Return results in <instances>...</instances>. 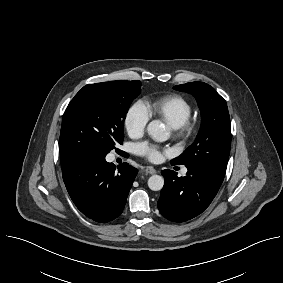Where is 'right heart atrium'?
<instances>
[{"instance_id": "right-heart-atrium-1", "label": "right heart atrium", "mask_w": 283, "mask_h": 283, "mask_svg": "<svg viewBox=\"0 0 283 283\" xmlns=\"http://www.w3.org/2000/svg\"><path fill=\"white\" fill-rule=\"evenodd\" d=\"M149 115L145 106L141 102L133 103L125 115V128L128 135L132 138H139L143 135Z\"/></svg>"}]
</instances>
